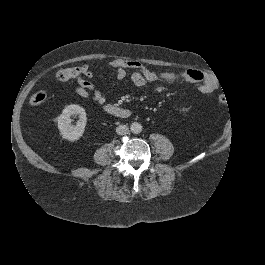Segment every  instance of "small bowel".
Listing matches in <instances>:
<instances>
[{
    "instance_id": "c3829d8e",
    "label": "small bowel",
    "mask_w": 265,
    "mask_h": 265,
    "mask_svg": "<svg viewBox=\"0 0 265 265\" xmlns=\"http://www.w3.org/2000/svg\"><path fill=\"white\" fill-rule=\"evenodd\" d=\"M109 67L114 70L115 77L123 80L128 70H133L131 75L132 83L137 87H143L148 83L156 81L164 82H188L199 85L201 93L209 94L217 88L216 81L201 71L188 69L177 72L172 70L155 71L147 68L139 61L115 59L109 62ZM84 72L76 77L74 92L83 99H91L98 104L106 101L103 93L90 81L94 77V72L90 66L82 65Z\"/></svg>"
}]
</instances>
